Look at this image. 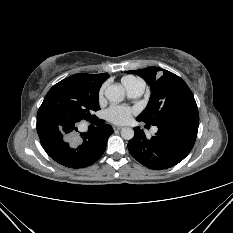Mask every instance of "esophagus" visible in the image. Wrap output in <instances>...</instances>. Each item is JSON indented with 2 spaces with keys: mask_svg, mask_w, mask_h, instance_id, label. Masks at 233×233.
<instances>
[{
  "mask_svg": "<svg viewBox=\"0 0 233 233\" xmlns=\"http://www.w3.org/2000/svg\"><path fill=\"white\" fill-rule=\"evenodd\" d=\"M122 128V126H113L114 131H120Z\"/></svg>",
  "mask_w": 233,
  "mask_h": 233,
  "instance_id": "34e87169",
  "label": "esophagus"
}]
</instances>
